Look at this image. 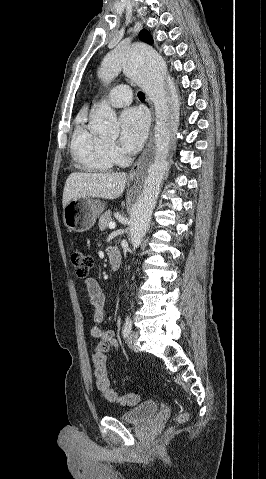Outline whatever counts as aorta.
Listing matches in <instances>:
<instances>
[{
    "instance_id": "obj_1",
    "label": "aorta",
    "mask_w": 266,
    "mask_h": 479,
    "mask_svg": "<svg viewBox=\"0 0 266 479\" xmlns=\"http://www.w3.org/2000/svg\"><path fill=\"white\" fill-rule=\"evenodd\" d=\"M121 70L136 81L155 105V148L145 174L130 198V235L139 243L146 234L161 182L168 166L170 130L175 117V104L169 92V76L162 57L150 46L134 43L127 48L117 47L109 52L101 64L100 78L108 83ZM92 130L115 136L119 125L115 112L102 102L91 115Z\"/></svg>"
}]
</instances>
